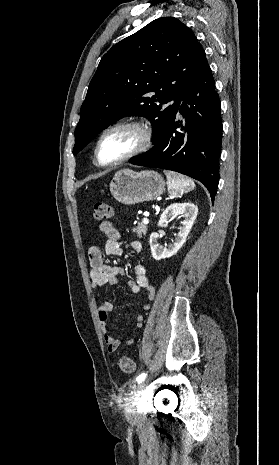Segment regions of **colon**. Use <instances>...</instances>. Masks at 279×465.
Wrapping results in <instances>:
<instances>
[{
	"mask_svg": "<svg viewBox=\"0 0 279 465\" xmlns=\"http://www.w3.org/2000/svg\"><path fill=\"white\" fill-rule=\"evenodd\" d=\"M93 214L96 220L106 221L114 216V210L109 204L97 202L93 206ZM118 365L120 370L127 374L133 373L135 370L134 361L127 356L120 357Z\"/></svg>",
	"mask_w": 279,
	"mask_h": 465,
	"instance_id": "colon-1",
	"label": "colon"
}]
</instances>
